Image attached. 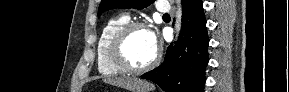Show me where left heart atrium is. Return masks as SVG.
<instances>
[{"label":"left heart atrium","instance_id":"39dd6f15","mask_svg":"<svg viewBox=\"0 0 289 92\" xmlns=\"http://www.w3.org/2000/svg\"><path fill=\"white\" fill-rule=\"evenodd\" d=\"M148 33L152 44L157 49L158 39L156 33L153 30H148Z\"/></svg>","mask_w":289,"mask_h":92}]
</instances>
